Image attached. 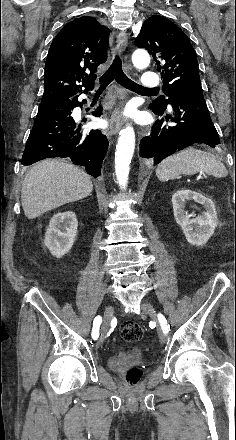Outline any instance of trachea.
<instances>
[{
  "label": "trachea",
  "mask_w": 236,
  "mask_h": 440,
  "mask_svg": "<svg viewBox=\"0 0 236 440\" xmlns=\"http://www.w3.org/2000/svg\"><path fill=\"white\" fill-rule=\"evenodd\" d=\"M114 79L125 88L136 91H147L152 89L143 88L141 85L129 79L122 69V61L119 56H115L109 69L99 78L100 86L97 91H103Z\"/></svg>",
  "instance_id": "1"
}]
</instances>
